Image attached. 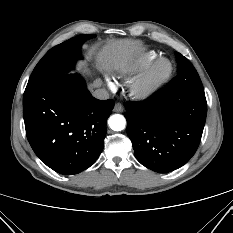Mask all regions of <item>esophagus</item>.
Returning <instances> with one entry per match:
<instances>
[{
  "mask_svg": "<svg viewBox=\"0 0 233 233\" xmlns=\"http://www.w3.org/2000/svg\"><path fill=\"white\" fill-rule=\"evenodd\" d=\"M124 110V106L121 103H116L114 106L115 112H122Z\"/></svg>",
  "mask_w": 233,
  "mask_h": 233,
  "instance_id": "1",
  "label": "esophagus"
}]
</instances>
